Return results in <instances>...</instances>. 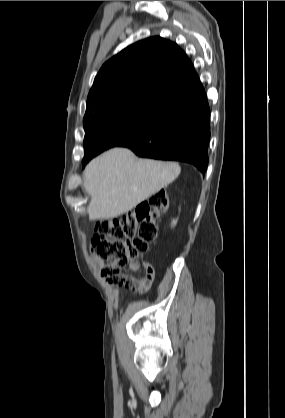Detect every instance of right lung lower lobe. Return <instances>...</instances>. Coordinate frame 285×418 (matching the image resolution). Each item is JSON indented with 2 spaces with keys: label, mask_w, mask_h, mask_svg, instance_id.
I'll use <instances>...</instances> for the list:
<instances>
[{
  "label": "right lung lower lobe",
  "mask_w": 285,
  "mask_h": 418,
  "mask_svg": "<svg viewBox=\"0 0 285 418\" xmlns=\"http://www.w3.org/2000/svg\"><path fill=\"white\" fill-rule=\"evenodd\" d=\"M210 136V108L203 89L169 107L155 123L119 146L139 157L190 163L204 174Z\"/></svg>",
  "instance_id": "obj_1"
}]
</instances>
